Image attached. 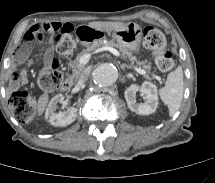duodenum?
Here are the masks:
<instances>
[{"mask_svg": "<svg viewBox=\"0 0 215 183\" xmlns=\"http://www.w3.org/2000/svg\"><path fill=\"white\" fill-rule=\"evenodd\" d=\"M71 87H72V80H70V79H66L60 85V88L62 91H68L71 89Z\"/></svg>", "mask_w": 215, "mask_h": 183, "instance_id": "duodenum-1", "label": "duodenum"}]
</instances>
